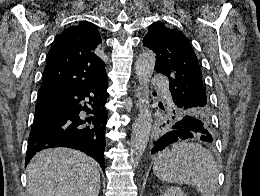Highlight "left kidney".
Masks as SVG:
<instances>
[{"mask_svg":"<svg viewBox=\"0 0 260 196\" xmlns=\"http://www.w3.org/2000/svg\"><path fill=\"white\" fill-rule=\"evenodd\" d=\"M162 196H186V194L180 188L170 186V188H167V192H162Z\"/></svg>","mask_w":260,"mask_h":196,"instance_id":"5707ae66","label":"left kidney"}]
</instances>
